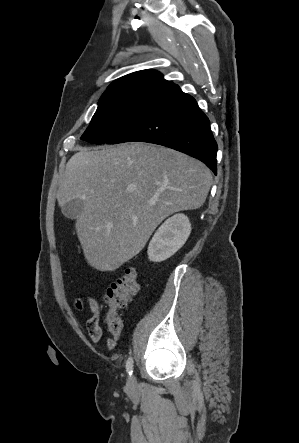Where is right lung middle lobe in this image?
<instances>
[{
    "label": "right lung middle lobe",
    "mask_w": 299,
    "mask_h": 443,
    "mask_svg": "<svg viewBox=\"0 0 299 443\" xmlns=\"http://www.w3.org/2000/svg\"><path fill=\"white\" fill-rule=\"evenodd\" d=\"M166 90L141 87L105 92L81 139L94 144L108 143L124 132Z\"/></svg>",
    "instance_id": "right-lung-middle-lobe-1"
}]
</instances>
